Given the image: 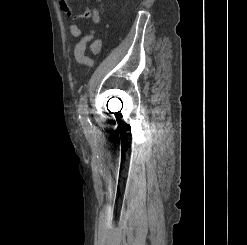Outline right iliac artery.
I'll return each mask as SVG.
<instances>
[{"label": "right iliac artery", "mask_w": 247, "mask_h": 245, "mask_svg": "<svg viewBox=\"0 0 247 245\" xmlns=\"http://www.w3.org/2000/svg\"><path fill=\"white\" fill-rule=\"evenodd\" d=\"M79 119H80L85 131H89L91 129V122H90V119L88 117L87 98H86V96H82L81 99H80Z\"/></svg>", "instance_id": "obj_1"}]
</instances>
